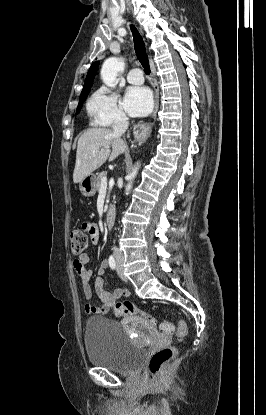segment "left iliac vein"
Wrapping results in <instances>:
<instances>
[{
	"label": "left iliac vein",
	"mask_w": 266,
	"mask_h": 415,
	"mask_svg": "<svg viewBox=\"0 0 266 415\" xmlns=\"http://www.w3.org/2000/svg\"><path fill=\"white\" fill-rule=\"evenodd\" d=\"M117 273H118L119 277L122 280H124V281L127 280V278L125 277L124 272H123V267H122V261H121V259H118L117 260Z\"/></svg>",
	"instance_id": "obj_1"
}]
</instances>
